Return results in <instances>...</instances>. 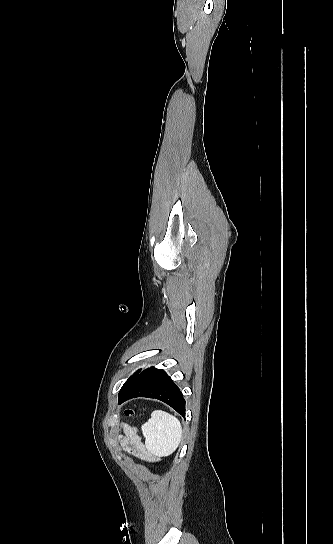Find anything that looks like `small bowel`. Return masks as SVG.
<instances>
[{
  "label": "small bowel",
  "mask_w": 333,
  "mask_h": 544,
  "mask_svg": "<svg viewBox=\"0 0 333 544\" xmlns=\"http://www.w3.org/2000/svg\"><path fill=\"white\" fill-rule=\"evenodd\" d=\"M124 431L126 434V438L124 440V447L129 453L146 461H152L156 459L155 455H153L148 450L136 429L126 427Z\"/></svg>",
  "instance_id": "small-bowel-1"
}]
</instances>
